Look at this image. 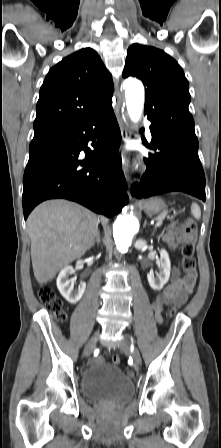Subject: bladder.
<instances>
[{
  "mask_svg": "<svg viewBox=\"0 0 221 448\" xmlns=\"http://www.w3.org/2000/svg\"><path fill=\"white\" fill-rule=\"evenodd\" d=\"M80 387L86 399L122 403L134 394V383L118 366L103 363L82 374Z\"/></svg>",
  "mask_w": 221,
  "mask_h": 448,
  "instance_id": "obj_1",
  "label": "bladder"
}]
</instances>
